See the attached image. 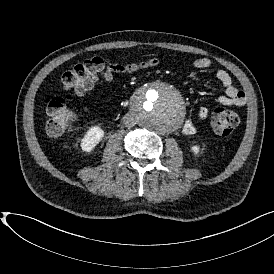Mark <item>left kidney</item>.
<instances>
[{
	"mask_svg": "<svg viewBox=\"0 0 274 274\" xmlns=\"http://www.w3.org/2000/svg\"><path fill=\"white\" fill-rule=\"evenodd\" d=\"M191 150L195 153V154H198L199 151H200V147L195 145V146H192Z\"/></svg>",
	"mask_w": 274,
	"mask_h": 274,
	"instance_id": "1",
	"label": "left kidney"
}]
</instances>
